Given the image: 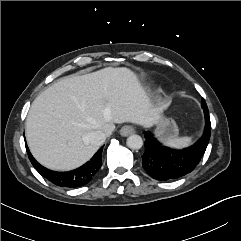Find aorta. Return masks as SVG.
Wrapping results in <instances>:
<instances>
[{
    "label": "aorta",
    "mask_w": 241,
    "mask_h": 241,
    "mask_svg": "<svg viewBox=\"0 0 241 241\" xmlns=\"http://www.w3.org/2000/svg\"><path fill=\"white\" fill-rule=\"evenodd\" d=\"M126 144L130 149L137 150L143 146V140L141 136L133 134L127 138Z\"/></svg>",
    "instance_id": "762f6f07"
}]
</instances>
